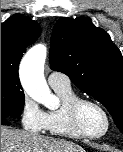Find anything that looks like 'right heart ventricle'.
<instances>
[{"label":"right heart ventricle","mask_w":123,"mask_h":152,"mask_svg":"<svg viewBox=\"0 0 123 152\" xmlns=\"http://www.w3.org/2000/svg\"><path fill=\"white\" fill-rule=\"evenodd\" d=\"M61 99L59 108L46 112V123L44 131L51 136L77 139L78 135L72 128L68 117V105L77 98L72 88H54Z\"/></svg>","instance_id":"e07e8e85"}]
</instances>
